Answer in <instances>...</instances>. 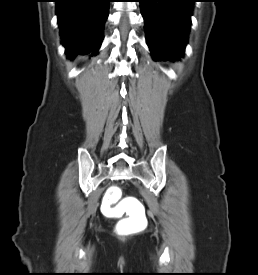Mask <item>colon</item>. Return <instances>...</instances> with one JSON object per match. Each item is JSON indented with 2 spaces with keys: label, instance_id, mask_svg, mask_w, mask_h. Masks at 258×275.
<instances>
[{
  "label": "colon",
  "instance_id": "5ec220e1",
  "mask_svg": "<svg viewBox=\"0 0 258 275\" xmlns=\"http://www.w3.org/2000/svg\"><path fill=\"white\" fill-rule=\"evenodd\" d=\"M107 196L109 200L117 201L121 197V191L117 187H112L108 190Z\"/></svg>",
  "mask_w": 258,
  "mask_h": 275
}]
</instances>
